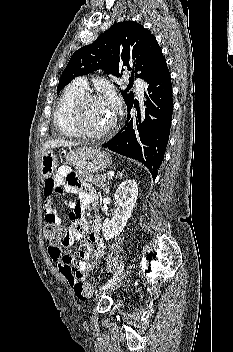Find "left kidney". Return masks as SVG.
Masks as SVG:
<instances>
[{
    "mask_svg": "<svg viewBox=\"0 0 233 352\" xmlns=\"http://www.w3.org/2000/svg\"><path fill=\"white\" fill-rule=\"evenodd\" d=\"M137 196L138 185L135 180L127 179L119 185L114 194V198L118 204L115 214L111 220L105 219L103 222L102 231L106 240L116 237L123 231L127 220L132 215Z\"/></svg>",
    "mask_w": 233,
    "mask_h": 352,
    "instance_id": "1",
    "label": "left kidney"
}]
</instances>
